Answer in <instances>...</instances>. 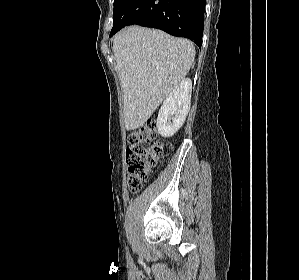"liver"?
<instances>
[{"mask_svg":"<svg viewBox=\"0 0 299 280\" xmlns=\"http://www.w3.org/2000/svg\"><path fill=\"white\" fill-rule=\"evenodd\" d=\"M113 53L123 91L125 127L134 130L185 78L195 47L161 30L130 26L115 35Z\"/></svg>","mask_w":299,"mask_h":280,"instance_id":"obj_1","label":"liver"}]
</instances>
